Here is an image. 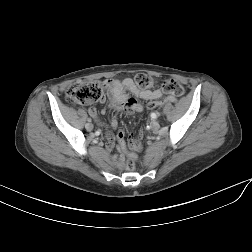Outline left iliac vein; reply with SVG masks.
I'll return each instance as SVG.
<instances>
[{
    "mask_svg": "<svg viewBox=\"0 0 252 252\" xmlns=\"http://www.w3.org/2000/svg\"><path fill=\"white\" fill-rule=\"evenodd\" d=\"M150 126H151V128H152L153 130H158L159 127H160V125H159V123H158L157 121H152V122L150 123Z\"/></svg>",
    "mask_w": 252,
    "mask_h": 252,
    "instance_id": "1",
    "label": "left iliac vein"
}]
</instances>
